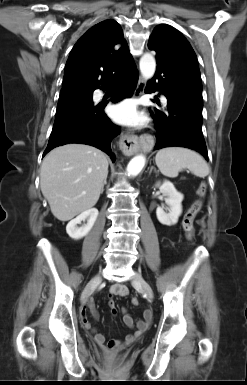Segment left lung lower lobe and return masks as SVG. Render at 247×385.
I'll return each instance as SVG.
<instances>
[{
	"instance_id": "0a47b994",
	"label": "left lung lower lobe",
	"mask_w": 247,
	"mask_h": 385,
	"mask_svg": "<svg viewBox=\"0 0 247 385\" xmlns=\"http://www.w3.org/2000/svg\"><path fill=\"white\" fill-rule=\"evenodd\" d=\"M156 62V74L147 84L145 92L160 90L167 98V107L165 111L150 109L157 130L155 149L187 147L200 152L208 159L202 134V93L163 59L156 57ZM156 102L159 103L158 100Z\"/></svg>"
}]
</instances>
